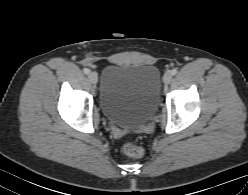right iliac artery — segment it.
I'll return each mask as SVG.
<instances>
[{"label":"right iliac artery","mask_w":248,"mask_h":195,"mask_svg":"<svg viewBox=\"0 0 248 195\" xmlns=\"http://www.w3.org/2000/svg\"><path fill=\"white\" fill-rule=\"evenodd\" d=\"M83 72H84L85 74H89L90 70H89L88 68H84V69H83Z\"/></svg>","instance_id":"obj_1"}]
</instances>
